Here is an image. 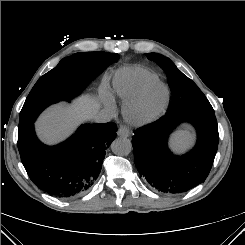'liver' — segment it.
<instances>
[{"instance_id":"1","label":"liver","mask_w":245,"mask_h":245,"mask_svg":"<svg viewBox=\"0 0 245 245\" xmlns=\"http://www.w3.org/2000/svg\"><path fill=\"white\" fill-rule=\"evenodd\" d=\"M106 86L107 80L104 79L101 91ZM98 110V101L87 95L76 100L73 105H54L36 122L37 133L44 142L56 143L67 137L78 123L93 119Z\"/></svg>"}]
</instances>
